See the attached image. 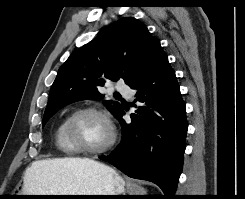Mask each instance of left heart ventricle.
Wrapping results in <instances>:
<instances>
[{"instance_id": "1", "label": "left heart ventricle", "mask_w": 245, "mask_h": 199, "mask_svg": "<svg viewBox=\"0 0 245 199\" xmlns=\"http://www.w3.org/2000/svg\"><path fill=\"white\" fill-rule=\"evenodd\" d=\"M73 137L88 148H99L109 139L110 132L105 120L94 114L78 117L72 128Z\"/></svg>"}]
</instances>
